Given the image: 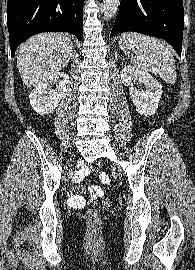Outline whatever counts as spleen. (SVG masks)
Returning a JSON list of instances; mask_svg holds the SVG:
<instances>
[{
    "instance_id": "spleen-1",
    "label": "spleen",
    "mask_w": 195,
    "mask_h": 270,
    "mask_svg": "<svg viewBox=\"0 0 195 270\" xmlns=\"http://www.w3.org/2000/svg\"><path fill=\"white\" fill-rule=\"evenodd\" d=\"M119 47L123 51L135 53L131 57L138 68L152 72L167 83L176 82L175 60L168 46L161 40L130 32L120 38Z\"/></svg>"
}]
</instances>
